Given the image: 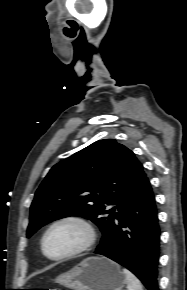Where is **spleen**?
I'll use <instances>...</instances> for the list:
<instances>
[{
    "mask_svg": "<svg viewBox=\"0 0 187 290\" xmlns=\"http://www.w3.org/2000/svg\"><path fill=\"white\" fill-rule=\"evenodd\" d=\"M123 273L127 279V290H143L140 281L131 271L124 268Z\"/></svg>",
    "mask_w": 187,
    "mask_h": 290,
    "instance_id": "1",
    "label": "spleen"
}]
</instances>
